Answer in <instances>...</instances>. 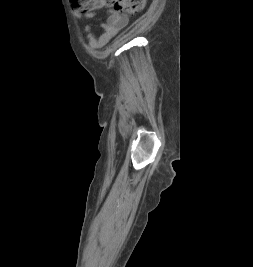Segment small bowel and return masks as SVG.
Instances as JSON below:
<instances>
[{
    "mask_svg": "<svg viewBox=\"0 0 253 267\" xmlns=\"http://www.w3.org/2000/svg\"><path fill=\"white\" fill-rule=\"evenodd\" d=\"M88 17L92 14H87ZM129 17L125 14L111 12L107 20L100 24L102 32L97 36L93 32L92 25H86L85 31L88 36L89 45L92 49L104 47L112 38H114L128 24Z\"/></svg>",
    "mask_w": 253,
    "mask_h": 267,
    "instance_id": "obj_1",
    "label": "small bowel"
}]
</instances>
